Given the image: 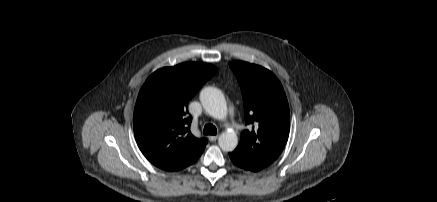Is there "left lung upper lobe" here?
Returning a JSON list of instances; mask_svg holds the SVG:
<instances>
[{"label":"left lung upper lobe","instance_id":"left-lung-upper-lobe-1","mask_svg":"<svg viewBox=\"0 0 437 202\" xmlns=\"http://www.w3.org/2000/svg\"><path fill=\"white\" fill-rule=\"evenodd\" d=\"M241 87L245 124L235 152L263 167L281 154L289 136L290 113L280 81L269 70L243 61L229 64Z\"/></svg>","mask_w":437,"mask_h":202}]
</instances>
